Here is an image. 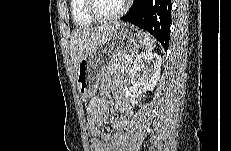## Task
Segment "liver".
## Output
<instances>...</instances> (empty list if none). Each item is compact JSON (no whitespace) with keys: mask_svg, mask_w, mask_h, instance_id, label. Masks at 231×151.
Instances as JSON below:
<instances>
[{"mask_svg":"<svg viewBox=\"0 0 231 151\" xmlns=\"http://www.w3.org/2000/svg\"><path fill=\"white\" fill-rule=\"evenodd\" d=\"M119 22L105 23L96 27L75 29L71 34L70 51L75 71L81 59L90 52L105 44L110 38L113 29Z\"/></svg>","mask_w":231,"mask_h":151,"instance_id":"obj_1","label":"liver"}]
</instances>
